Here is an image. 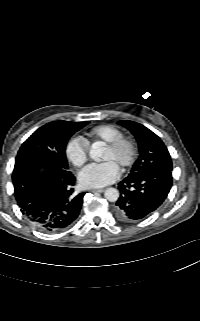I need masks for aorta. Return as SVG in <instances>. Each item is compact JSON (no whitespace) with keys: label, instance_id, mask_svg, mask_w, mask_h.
<instances>
[{"label":"aorta","instance_id":"obj_1","mask_svg":"<svg viewBox=\"0 0 200 321\" xmlns=\"http://www.w3.org/2000/svg\"><path fill=\"white\" fill-rule=\"evenodd\" d=\"M101 153H102V150L99 144L93 143L89 152L90 157L95 161H99L101 157ZM104 196L108 201L115 202L119 198V192L117 189L110 187L105 190Z\"/></svg>","mask_w":200,"mask_h":321}]
</instances>
